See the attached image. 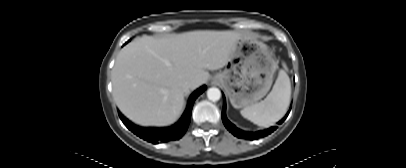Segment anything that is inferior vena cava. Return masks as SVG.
<instances>
[{"instance_id": "obj_1", "label": "inferior vena cava", "mask_w": 406, "mask_h": 168, "mask_svg": "<svg viewBox=\"0 0 406 168\" xmlns=\"http://www.w3.org/2000/svg\"><path fill=\"white\" fill-rule=\"evenodd\" d=\"M192 87H193V82L192 81H187L185 83V85H184L185 92H188Z\"/></svg>"}]
</instances>
